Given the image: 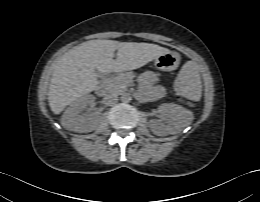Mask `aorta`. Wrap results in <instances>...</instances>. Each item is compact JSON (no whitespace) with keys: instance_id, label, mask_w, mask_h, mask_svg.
<instances>
[{"instance_id":"762f6f07","label":"aorta","mask_w":260,"mask_h":202,"mask_svg":"<svg viewBox=\"0 0 260 202\" xmlns=\"http://www.w3.org/2000/svg\"><path fill=\"white\" fill-rule=\"evenodd\" d=\"M121 100L122 102H129L131 100V96L129 93H124L122 96H121Z\"/></svg>"}]
</instances>
